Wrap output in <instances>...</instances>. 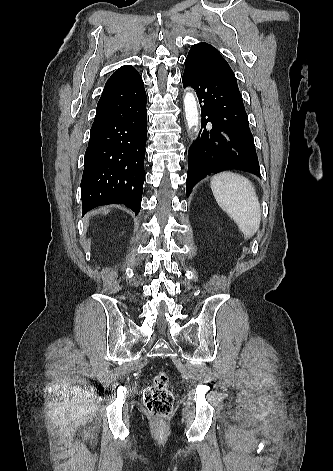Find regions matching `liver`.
Listing matches in <instances>:
<instances>
[{"label": "liver", "instance_id": "obj_1", "mask_svg": "<svg viewBox=\"0 0 333 471\" xmlns=\"http://www.w3.org/2000/svg\"><path fill=\"white\" fill-rule=\"evenodd\" d=\"M104 213H105V214L108 213V210H105Z\"/></svg>", "mask_w": 333, "mask_h": 471}]
</instances>
